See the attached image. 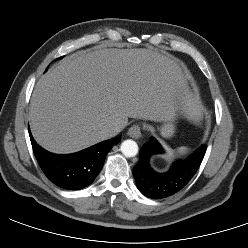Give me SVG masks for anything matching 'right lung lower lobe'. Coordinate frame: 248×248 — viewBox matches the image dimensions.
<instances>
[{"label":"right lung lower lobe","instance_id":"1","mask_svg":"<svg viewBox=\"0 0 248 248\" xmlns=\"http://www.w3.org/2000/svg\"><path fill=\"white\" fill-rule=\"evenodd\" d=\"M30 140L34 155L47 178L60 188L79 190L90 185L101 171L106 155L121 138H113L74 154L57 155Z\"/></svg>","mask_w":248,"mask_h":248}]
</instances>
